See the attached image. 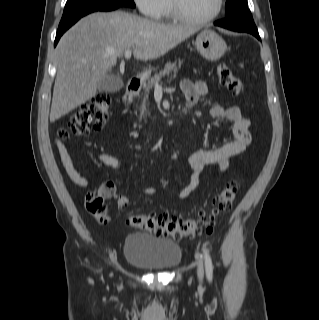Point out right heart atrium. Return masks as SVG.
Instances as JSON below:
<instances>
[{
	"label": "right heart atrium",
	"instance_id": "1",
	"mask_svg": "<svg viewBox=\"0 0 319 320\" xmlns=\"http://www.w3.org/2000/svg\"><path fill=\"white\" fill-rule=\"evenodd\" d=\"M140 12L149 18H159L164 14L167 0H134Z\"/></svg>",
	"mask_w": 319,
	"mask_h": 320
}]
</instances>
